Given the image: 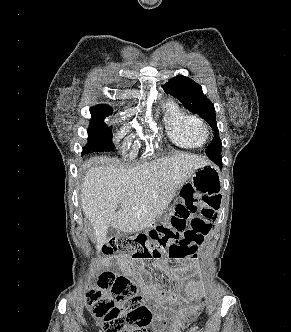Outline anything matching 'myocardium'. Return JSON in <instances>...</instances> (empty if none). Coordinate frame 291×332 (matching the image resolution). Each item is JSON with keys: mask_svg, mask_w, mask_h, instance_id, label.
<instances>
[{"mask_svg": "<svg viewBox=\"0 0 291 332\" xmlns=\"http://www.w3.org/2000/svg\"><path fill=\"white\" fill-rule=\"evenodd\" d=\"M202 133H203L204 137H207L208 134H209V130H208V128L205 127V126H202Z\"/></svg>", "mask_w": 291, "mask_h": 332, "instance_id": "obj_1", "label": "myocardium"}]
</instances>
